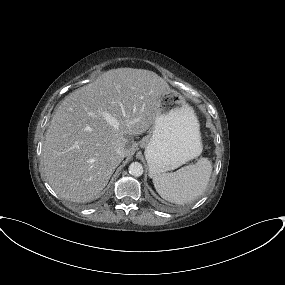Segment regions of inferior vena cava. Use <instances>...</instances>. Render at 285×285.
<instances>
[{"mask_svg":"<svg viewBox=\"0 0 285 285\" xmlns=\"http://www.w3.org/2000/svg\"><path fill=\"white\" fill-rule=\"evenodd\" d=\"M116 154H117V156H119V157H124V156H125V149H124V148H121V147L117 148V149H116Z\"/></svg>","mask_w":285,"mask_h":285,"instance_id":"inferior-vena-cava-1","label":"inferior vena cava"}]
</instances>
